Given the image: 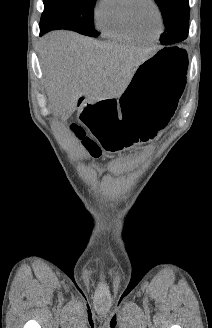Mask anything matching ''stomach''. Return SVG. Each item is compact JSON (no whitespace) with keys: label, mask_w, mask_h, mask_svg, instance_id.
Here are the masks:
<instances>
[{"label":"stomach","mask_w":212,"mask_h":328,"mask_svg":"<svg viewBox=\"0 0 212 328\" xmlns=\"http://www.w3.org/2000/svg\"><path fill=\"white\" fill-rule=\"evenodd\" d=\"M186 70L180 47L155 51L136 68L117 102H87L81 123L99 146L113 152L152 139L166 128L174 113ZM140 100L150 102H137Z\"/></svg>","instance_id":"1"}]
</instances>
